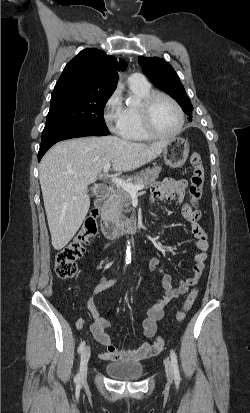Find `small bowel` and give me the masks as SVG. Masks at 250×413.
<instances>
[{"label": "small bowel", "instance_id": "1", "mask_svg": "<svg viewBox=\"0 0 250 413\" xmlns=\"http://www.w3.org/2000/svg\"><path fill=\"white\" fill-rule=\"evenodd\" d=\"M186 180H176L166 178L162 182L155 184L151 190V199L154 200H178L186 195ZM182 216L190 222V231L195 237L194 246L199 250L193 257L191 267V276L181 279L177 286L172 284V278L169 274L163 272L160 267V259L154 257L149 261L148 269L151 272L158 271L162 273L163 295L147 309L146 317L142 322L143 332L147 338H152L157 330V324L164 315V308L174 299L184 295L188 289L196 285L204 269V262L207 259V251L209 249L208 235L200 226L198 221L201 218V212L194 209L189 203H186L182 208ZM164 233V229L161 230ZM116 279H106L101 277L100 282L94 289L93 295H96L116 283ZM87 308L91 313L94 322L91 325V332L95 339L104 347V350L99 353V358L110 361H139L157 355L161 350L156 349L153 343L144 342L138 347L128 349H117L113 344L111 337L105 332V329L110 326V322L101 317L93 297H90L86 302ZM84 320L77 321V327L82 328Z\"/></svg>", "mask_w": 250, "mask_h": 413}]
</instances>
